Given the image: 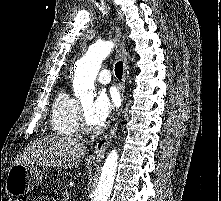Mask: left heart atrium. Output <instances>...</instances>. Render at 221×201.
<instances>
[{"instance_id":"39dd6f15","label":"left heart atrium","mask_w":221,"mask_h":201,"mask_svg":"<svg viewBox=\"0 0 221 201\" xmlns=\"http://www.w3.org/2000/svg\"><path fill=\"white\" fill-rule=\"evenodd\" d=\"M118 97L114 92H101L91 107V117L97 123L104 124L118 107Z\"/></svg>"}]
</instances>
